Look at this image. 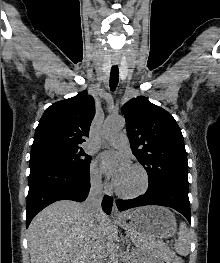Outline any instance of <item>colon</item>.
Returning a JSON list of instances; mask_svg holds the SVG:
<instances>
[{"label": "colon", "instance_id": "1", "mask_svg": "<svg viewBox=\"0 0 220 263\" xmlns=\"http://www.w3.org/2000/svg\"><path fill=\"white\" fill-rule=\"evenodd\" d=\"M173 263H185L184 260L180 257H175L173 259Z\"/></svg>", "mask_w": 220, "mask_h": 263}]
</instances>
